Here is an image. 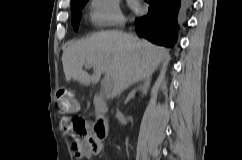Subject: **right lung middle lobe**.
Wrapping results in <instances>:
<instances>
[{"label":"right lung middle lobe","instance_id":"1","mask_svg":"<svg viewBox=\"0 0 242 160\" xmlns=\"http://www.w3.org/2000/svg\"><path fill=\"white\" fill-rule=\"evenodd\" d=\"M88 0H74L71 3L72 24L75 30L78 29V24L81 19V10Z\"/></svg>","mask_w":242,"mask_h":160}]
</instances>
